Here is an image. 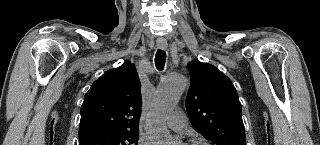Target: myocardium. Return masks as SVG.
<instances>
[{
	"mask_svg": "<svg viewBox=\"0 0 320 145\" xmlns=\"http://www.w3.org/2000/svg\"><path fill=\"white\" fill-rule=\"evenodd\" d=\"M184 145H209L207 142L202 140H189Z\"/></svg>",
	"mask_w": 320,
	"mask_h": 145,
	"instance_id": "1",
	"label": "myocardium"
}]
</instances>
